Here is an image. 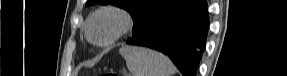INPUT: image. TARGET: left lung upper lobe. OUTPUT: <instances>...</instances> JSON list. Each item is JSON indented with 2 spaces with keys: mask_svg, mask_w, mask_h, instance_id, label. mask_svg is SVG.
<instances>
[{
  "mask_svg": "<svg viewBox=\"0 0 287 76\" xmlns=\"http://www.w3.org/2000/svg\"><path fill=\"white\" fill-rule=\"evenodd\" d=\"M183 0H88L87 6L113 4L127 10L134 19L133 36L141 33L147 25L174 4H181ZM132 36V37H133Z\"/></svg>",
  "mask_w": 287,
  "mask_h": 76,
  "instance_id": "1",
  "label": "left lung upper lobe"
}]
</instances>
